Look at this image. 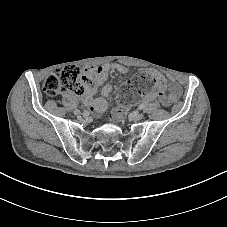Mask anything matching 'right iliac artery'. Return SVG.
Masks as SVG:
<instances>
[{
	"instance_id": "82829eb1",
	"label": "right iliac artery",
	"mask_w": 227,
	"mask_h": 227,
	"mask_svg": "<svg viewBox=\"0 0 227 227\" xmlns=\"http://www.w3.org/2000/svg\"><path fill=\"white\" fill-rule=\"evenodd\" d=\"M91 115V112L89 109H84L82 111V116H84L85 118H88Z\"/></svg>"
}]
</instances>
